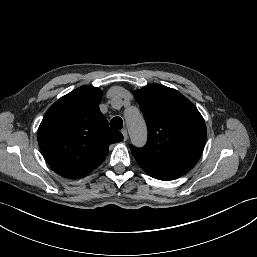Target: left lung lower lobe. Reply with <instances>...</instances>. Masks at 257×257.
Returning a JSON list of instances; mask_svg holds the SVG:
<instances>
[{"label": "left lung lower lobe", "instance_id": "left-lung-lower-lobe-1", "mask_svg": "<svg viewBox=\"0 0 257 257\" xmlns=\"http://www.w3.org/2000/svg\"><path fill=\"white\" fill-rule=\"evenodd\" d=\"M141 167L147 174L159 180H173L189 171L187 169H161L148 166Z\"/></svg>", "mask_w": 257, "mask_h": 257}]
</instances>
